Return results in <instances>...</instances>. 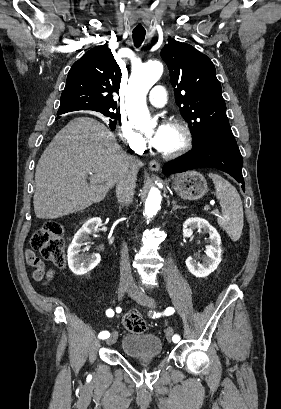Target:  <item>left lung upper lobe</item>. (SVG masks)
Segmentation results:
<instances>
[{"label":"left lung upper lobe","instance_id":"left-lung-upper-lobe-1","mask_svg":"<svg viewBox=\"0 0 281 409\" xmlns=\"http://www.w3.org/2000/svg\"><path fill=\"white\" fill-rule=\"evenodd\" d=\"M161 57L170 71L176 104L189 123L193 146L208 141L237 145L210 58L191 45L176 41L163 48Z\"/></svg>","mask_w":281,"mask_h":409}]
</instances>
